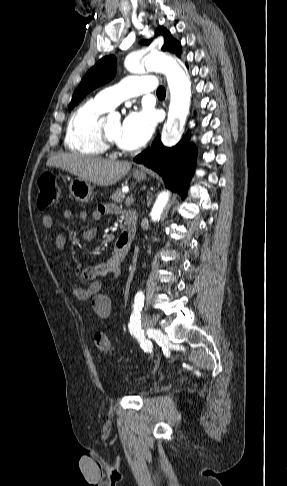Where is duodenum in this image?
<instances>
[{"label": "duodenum", "instance_id": "410a0bca", "mask_svg": "<svg viewBox=\"0 0 287 486\" xmlns=\"http://www.w3.org/2000/svg\"><path fill=\"white\" fill-rule=\"evenodd\" d=\"M137 228V219L134 215H127L124 222V227L116 240V248L119 252L127 251L131 242L134 239Z\"/></svg>", "mask_w": 287, "mask_h": 486}]
</instances>
